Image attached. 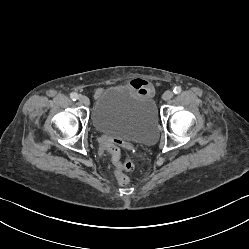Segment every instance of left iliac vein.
I'll return each mask as SVG.
<instances>
[{
	"mask_svg": "<svg viewBox=\"0 0 249 249\" xmlns=\"http://www.w3.org/2000/svg\"><path fill=\"white\" fill-rule=\"evenodd\" d=\"M172 97H173V92H172V91H166V92L163 94V99H164L165 101L170 100Z\"/></svg>",
	"mask_w": 249,
	"mask_h": 249,
	"instance_id": "left-iliac-vein-1",
	"label": "left iliac vein"
}]
</instances>
